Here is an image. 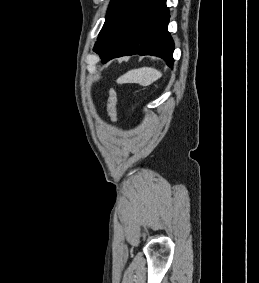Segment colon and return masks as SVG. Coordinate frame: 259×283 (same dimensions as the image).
Returning a JSON list of instances; mask_svg holds the SVG:
<instances>
[{
	"mask_svg": "<svg viewBox=\"0 0 259 283\" xmlns=\"http://www.w3.org/2000/svg\"><path fill=\"white\" fill-rule=\"evenodd\" d=\"M107 114L111 122L116 120V92L114 89L108 90L106 101Z\"/></svg>",
	"mask_w": 259,
	"mask_h": 283,
	"instance_id": "1",
	"label": "colon"
}]
</instances>
